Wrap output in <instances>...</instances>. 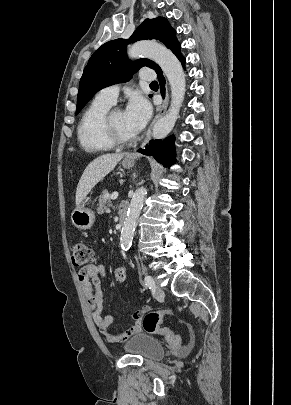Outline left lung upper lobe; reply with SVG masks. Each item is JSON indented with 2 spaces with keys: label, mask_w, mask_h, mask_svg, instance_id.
Returning a JSON list of instances; mask_svg holds the SVG:
<instances>
[{
  "label": "left lung upper lobe",
  "mask_w": 291,
  "mask_h": 405,
  "mask_svg": "<svg viewBox=\"0 0 291 405\" xmlns=\"http://www.w3.org/2000/svg\"><path fill=\"white\" fill-rule=\"evenodd\" d=\"M176 31L166 18L146 19L128 39H116L99 47L89 59L79 84L76 114L99 90L112 84L128 81L132 74L143 66L157 69L159 66L149 59L130 61L126 47L130 42L156 39L171 48L178 42Z\"/></svg>",
  "instance_id": "5c2ea615"
}]
</instances>
